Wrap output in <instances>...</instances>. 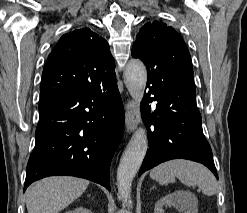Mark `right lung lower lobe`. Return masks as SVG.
I'll list each match as a JSON object with an SVG mask.
<instances>
[{
    "label": "right lung lower lobe",
    "mask_w": 247,
    "mask_h": 213,
    "mask_svg": "<svg viewBox=\"0 0 247 213\" xmlns=\"http://www.w3.org/2000/svg\"><path fill=\"white\" fill-rule=\"evenodd\" d=\"M123 127L124 108L115 76L41 100L24 191L32 182L54 175L82 177L110 191V164Z\"/></svg>",
    "instance_id": "1"
}]
</instances>
